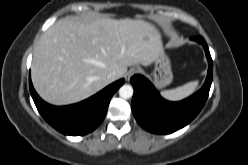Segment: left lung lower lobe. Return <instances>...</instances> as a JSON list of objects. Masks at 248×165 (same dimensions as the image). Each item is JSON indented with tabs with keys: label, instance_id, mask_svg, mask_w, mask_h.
I'll list each match as a JSON object with an SVG mask.
<instances>
[{
	"label": "left lung lower lobe",
	"instance_id": "obj_1",
	"mask_svg": "<svg viewBox=\"0 0 248 165\" xmlns=\"http://www.w3.org/2000/svg\"><path fill=\"white\" fill-rule=\"evenodd\" d=\"M202 44L209 68L203 87L189 98L180 102L163 99L154 86L143 76L134 75L130 82L134 88L132 112L138 124L156 134H169L189 124L205 105L213 78V62L203 37L191 38Z\"/></svg>",
	"mask_w": 248,
	"mask_h": 165
}]
</instances>
